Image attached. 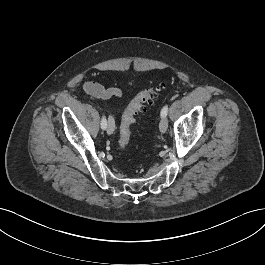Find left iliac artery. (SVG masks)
I'll return each mask as SVG.
<instances>
[{"label":"left iliac artery","mask_w":265,"mask_h":265,"mask_svg":"<svg viewBox=\"0 0 265 265\" xmlns=\"http://www.w3.org/2000/svg\"><path fill=\"white\" fill-rule=\"evenodd\" d=\"M168 113V105H165L161 110V117H166Z\"/></svg>","instance_id":"44dca946"}]
</instances>
